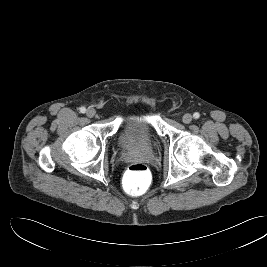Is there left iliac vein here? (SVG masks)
Instances as JSON below:
<instances>
[{"label": "left iliac vein", "instance_id": "1", "mask_svg": "<svg viewBox=\"0 0 267 267\" xmlns=\"http://www.w3.org/2000/svg\"><path fill=\"white\" fill-rule=\"evenodd\" d=\"M182 121L185 123V124H189L191 121H192V115L191 114H184L183 117H182Z\"/></svg>", "mask_w": 267, "mask_h": 267}]
</instances>
